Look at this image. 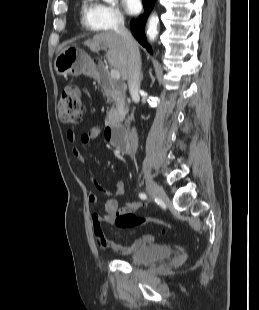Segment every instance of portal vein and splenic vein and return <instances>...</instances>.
Returning <instances> with one entry per match:
<instances>
[{
  "label": "portal vein and splenic vein",
  "instance_id": "1",
  "mask_svg": "<svg viewBox=\"0 0 259 310\" xmlns=\"http://www.w3.org/2000/svg\"><path fill=\"white\" fill-rule=\"evenodd\" d=\"M110 75L114 80L120 79V72L117 69H111Z\"/></svg>",
  "mask_w": 259,
  "mask_h": 310
}]
</instances>
